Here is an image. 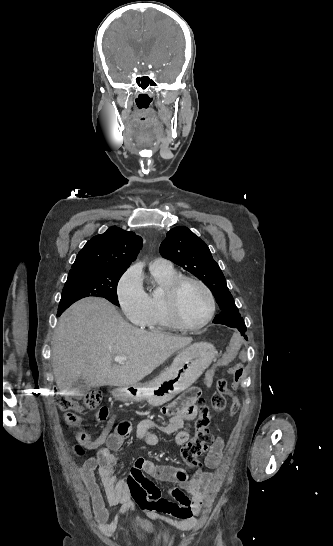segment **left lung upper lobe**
Returning <instances> with one entry per match:
<instances>
[{"instance_id":"1","label":"left lung upper lobe","mask_w":333,"mask_h":546,"mask_svg":"<svg viewBox=\"0 0 333 546\" xmlns=\"http://www.w3.org/2000/svg\"><path fill=\"white\" fill-rule=\"evenodd\" d=\"M162 257L194 274L213 293L221 312L231 317L237 326H245L233 296L229 292L219 265L212 258L208 246L185 226L167 233L160 246Z\"/></svg>"}]
</instances>
